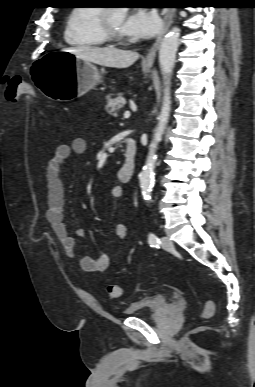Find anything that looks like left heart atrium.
<instances>
[{
    "label": "left heart atrium",
    "mask_w": 255,
    "mask_h": 387,
    "mask_svg": "<svg viewBox=\"0 0 255 387\" xmlns=\"http://www.w3.org/2000/svg\"><path fill=\"white\" fill-rule=\"evenodd\" d=\"M161 27V19L155 11L137 9L124 20L122 31L135 38H151Z\"/></svg>",
    "instance_id": "1"
}]
</instances>
